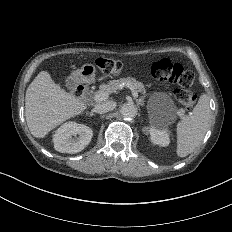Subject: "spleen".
Returning a JSON list of instances; mask_svg holds the SVG:
<instances>
[{
  "label": "spleen",
  "mask_w": 232,
  "mask_h": 232,
  "mask_svg": "<svg viewBox=\"0 0 232 232\" xmlns=\"http://www.w3.org/2000/svg\"><path fill=\"white\" fill-rule=\"evenodd\" d=\"M210 119L209 97L203 94L192 113L182 116L177 124V155L179 157H186L199 146L207 132Z\"/></svg>",
  "instance_id": "spleen-1"
}]
</instances>
